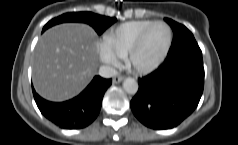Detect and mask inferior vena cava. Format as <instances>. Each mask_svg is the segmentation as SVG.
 Wrapping results in <instances>:
<instances>
[{
    "label": "inferior vena cava",
    "mask_w": 238,
    "mask_h": 145,
    "mask_svg": "<svg viewBox=\"0 0 238 145\" xmlns=\"http://www.w3.org/2000/svg\"><path fill=\"white\" fill-rule=\"evenodd\" d=\"M117 73V70L111 66L103 65L99 68V75L104 78L114 77Z\"/></svg>",
    "instance_id": "obj_1"
}]
</instances>
